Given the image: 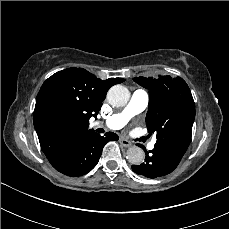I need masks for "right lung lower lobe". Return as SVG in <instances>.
<instances>
[{
  "label": "right lung lower lobe",
  "instance_id": "obj_1",
  "mask_svg": "<svg viewBox=\"0 0 229 229\" xmlns=\"http://www.w3.org/2000/svg\"><path fill=\"white\" fill-rule=\"evenodd\" d=\"M110 140H118L115 133L100 136L94 131L74 140L51 165L67 176H81L92 170L98 163L104 145Z\"/></svg>",
  "mask_w": 229,
  "mask_h": 229
}]
</instances>
